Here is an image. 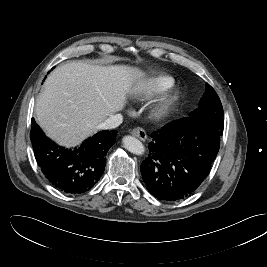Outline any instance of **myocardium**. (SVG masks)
<instances>
[{"label": "myocardium", "instance_id": "myocardium-1", "mask_svg": "<svg viewBox=\"0 0 267 267\" xmlns=\"http://www.w3.org/2000/svg\"><path fill=\"white\" fill-rule=\"evenodd\" d=\"M178 99L179 94L177 92H170L164 95L155 105L153 110L154 114L160 117L167 115L173 109Z\"/></svg>", "mask_w": 267, "mask_h": 267}]
</instances>
